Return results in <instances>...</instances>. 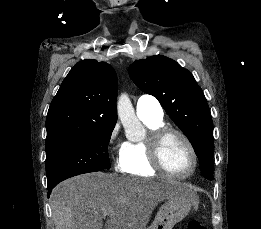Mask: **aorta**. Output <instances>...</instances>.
I'll return each mask as SVG.
<instances>
[{
	"mask_svg": "<svg viewBox=\"0 0 261 229\" xmlns=\"http://www.w3.org/2000/svg\"><path fill=\"white\" fill-rule=\"evenodd\" d=\"M117 112L126 133L130 131L133 137L144 139L145 131H138V129H136V125H140V123L135 115L133 104L126 92H122V94L118 96ZM140 129H142V125H140Z\"/></svg>",
	"mask_w": 261,
	"mask_h": 229,
	"instance_id": "obj_1",
	"label": "aorta"
}]
</instances>
